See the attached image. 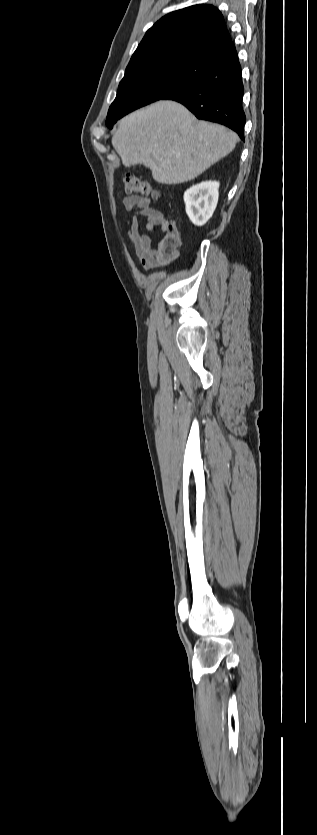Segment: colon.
Wrapping results in <instances>:
<instances>
[{"instance_id": "1", "label": "colon", "mask_w": 317, "mask_h": 835, "mask_svg": "<svg viewBox=\"0 0 317 835\" xmlns=\"http://www.w3.org/2000/svg\"><path fill=\"white\" fill-rule=\"evenodd\" d=\"M123 184L125 191L129 194H137L142 196H152L159 198V193L154 190L151 185L134 174L128 173L123 177ZM181 233L172 221H168L165 229V235L159 243V252L167 259H173L177 255V251L181 246Z\"/></svg>"}]
</instances>
